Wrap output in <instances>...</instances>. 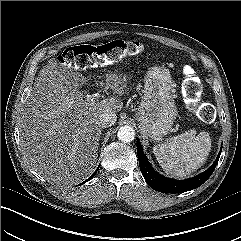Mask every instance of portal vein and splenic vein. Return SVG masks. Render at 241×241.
Instances as JSON below:
<instances>
[{
	"label": "portal vein and splenic vein",
	"instance_id": "portal-vein-and-splenic-vein-1",
	"mask_svg": "<svg viewBox=\"0 0 241 241\" xmlns=\"http://www.w3.org/2000/svg\"><path fill=\"white\" fill-rule=\"evenodd\" d=\"M87 97H91V98H93V99H97V96L96 95H93V96H91V95H86Z\"/></svg>",
	"mask_w": 241,
	"mask_h": 241
}]
</instances>
